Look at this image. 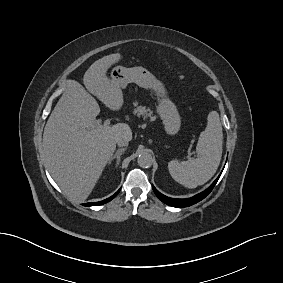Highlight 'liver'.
<instances>
[{"mask_svg":"<svg viewBox=\"0 0 283 283\" xmlns=\"http://www.w3.org/2000/svg\"><path fill=\"white\" fill-rule=\"evenodd\" d=\"M120 59L117 53L95 61L83 77L87 90L77 81H69L44 128L47 168L63 193L76 202H83L92 192L117 140H132L126 123L94 127L100 107L91 94L113 111L124 103L119 84L106 76L108 68Z\"/></svg>","mask_w":283,"mask_h":283,"instance_id":"6515ba94","label":"liver"}]
</instances>
